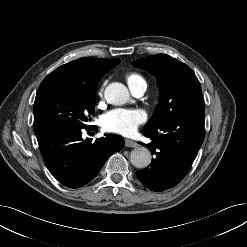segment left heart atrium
Here are the masks:
<instances>
[{
  "label": "left heart atrium",
  "mask_w": 247,
  "mask_h": 247,
  "mask_svg": "<svg viewBox=\"0 0 247 247\" xmlns=\"http://www.w3.org/2000/svg\"><path fill=\"white\" fill-rule=\"evenodd\" d=\"M146 120V115L138 109H114L101 119V126L109 132L130 135Z\"/></svg>",
  "instance_id": "obj_1"
}]
</instances>
